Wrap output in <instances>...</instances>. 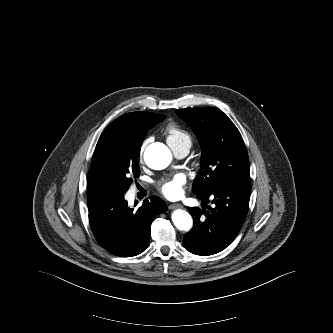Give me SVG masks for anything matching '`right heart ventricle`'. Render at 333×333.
<instances>
[{
    "label": "right heart ventricle",
    "instance_id": "right-heart-ventricle-1",
    "mask_svg": "<svg viewBox=\"0 0 333 333\" xmlns=\"http://www.w3.org/2000/svg\"><path fill=\"white\" fill-rule=\"evenodd\" d=\"M165 135L168 144L173 150L184 146L190 148L192 145L191 134L174 122L167 124Z\"/></svg>",
    "mask_w": 333,
    "mask_h": 333
}]
</instances>
